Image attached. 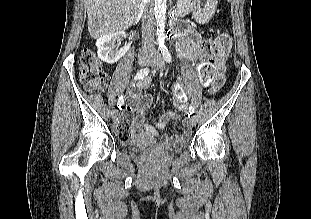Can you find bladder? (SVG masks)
I'll return each mask as SVG.
<instances>
[{
	"label": "bladder",
	"instance_id": "1",
	"mask_svg": "<svg viewBox=\"0 0 311 219\" xmlns=\"http://www.w3.org/2000/svg\"><path fill=\"white\" fill-rule=\"evenodd\" d=\"M184 147V143H178L176 144L173 148L169 149L170 151H178L180 149H182ZM129 148L131 149H136V150H140L139 147L134 146V142H132L131 144H129Z\"/></svg>",
	"mask_w": 311,
	"mask_h": 219
}]
</instances>
